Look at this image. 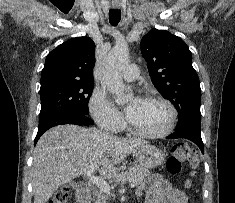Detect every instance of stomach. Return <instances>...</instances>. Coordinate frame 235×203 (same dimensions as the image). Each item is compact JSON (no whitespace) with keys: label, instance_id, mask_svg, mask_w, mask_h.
Returning a JSON list of instances; mask_svg holds the SVG:
<instances>
[{"label":"stomach","instance_id":"1","mask_svg":"<svg viewBox=\"0 0 235 203\" xmlns=\"http://www.w3.org/2000/svg\"><path fill=\"white\" fill-rule=\"evenodd\" d=\"M136 159L140 166L154 168L165 160V152L153 145H143L134 150Z\"/></svg>","mask_w":235,"mask_h":203}]
</instances>
